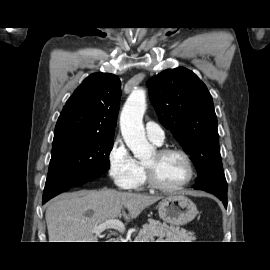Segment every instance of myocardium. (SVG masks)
<instances>
[{
	"instance_id": "1",
	"label": "myocardium",
	"mask_w": 270,
	"mask_h": 270,
	"mask_svg": "<svg viewBox=\"0 0 270 270\" xmlns=\"http://www.w3.org/2000/svg\"><path fill=\"white\" fill-rule=\"evenodd\" d=\"M157 155L164 156L166 154H178L180 155L187 167V176L181 183L175 186H164L160 184L154 177L153 171L147 164L144 163L145 179L149 187L160 192L173 193L184 189L188 186L194 178L195 169L190 155L182 148L178 147H160L156 150Z\"/></svg>"
}]
</instances>
